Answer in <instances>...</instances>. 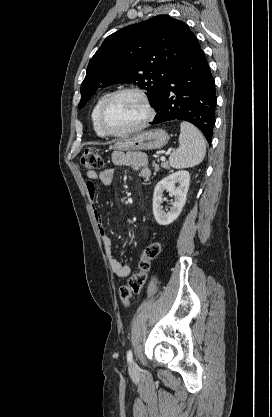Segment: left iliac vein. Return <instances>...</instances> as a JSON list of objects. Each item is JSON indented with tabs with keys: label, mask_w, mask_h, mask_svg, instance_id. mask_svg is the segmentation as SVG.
I'll list each match as a JSON object with an SVG mask.
<instances>
[{
	"label": "left iliac vein",
	"mask_w": 272,
	"mask_h": 417,
	"mask_svg": "<svg viewBox=\"0 0 272 417\" xmlns=\"http://www.w3.org/2000/svg\"><path fill=\"white\" fill-rule=\"evenodd\" d=\"M137 369H138L137 364L134 361H132L129 365V371L133 373V372H136Z\"/></svg>",
	"instance_id": "left-iliac-vein-1"
}]
</instances>
